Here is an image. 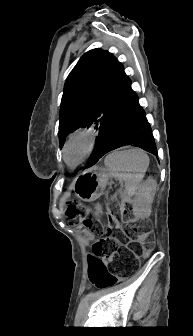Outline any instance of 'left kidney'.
Masks as SVG:
<instances>
[{"label": "left kidney", "mask_w": 193, "mask_h": 336, "mask_svg": "<svg viewBox=\"0 0 193 336\" xmlns=\"http://www.w3.org/2000/svg\"><path fill=\"white\" fill-rule=\"evenodd\" d=\"M157 183L153 178H148L140 187L136 198L133 200V215L137 219L150 216L151 205L156 192Z\"/></svg>", "instance_id": "obj_1"}]
</instances>
